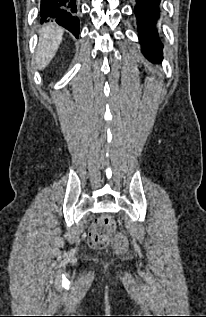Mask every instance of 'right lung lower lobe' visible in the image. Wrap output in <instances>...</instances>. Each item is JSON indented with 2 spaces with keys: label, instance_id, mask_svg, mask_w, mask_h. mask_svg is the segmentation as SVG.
<instances>
[{
  "label": "right lung lower lobe",
  "instance_id": "1",
  "mask_svg": "<svg viewBox=\"0 0 206 317\" xmlns=\"http://www.w3.org/2000/svg\"><path fill=\"white\" fill-rule=\"evenodd\" d=\"M41 22L53 19L74 36H79V18L76 0H41Z\"/></svg>",
  "mask_w": 206,
  "mask_h": 317
}]
</instances>
